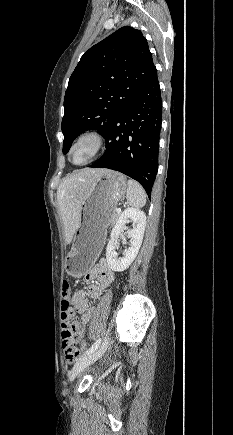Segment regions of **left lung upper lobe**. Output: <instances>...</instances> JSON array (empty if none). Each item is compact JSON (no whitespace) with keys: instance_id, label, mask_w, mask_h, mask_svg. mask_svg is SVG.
<instances>
[{"instance_id":"5c2ea615","label":"left lung upper lobe","mask_w":233,"mask_h":435,"mask_svg":"<svg viewBox=\"0 0 233 435\" xmlns=\"http://www.w3.org/2000/svg\"><path fill=\"white\" fill-rule=\"evenodd\" d=\"M155 70L146 38L130 26L118 29L86 51L65 93L63 153L85 130L97 129L105 138L116 117L141 92Z\"/></svg>"}]
</instances>
